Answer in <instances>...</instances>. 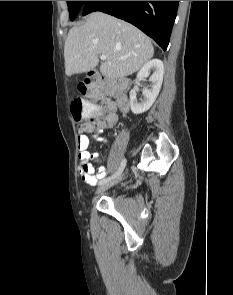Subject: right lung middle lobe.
<instances>
[{"mask_svg":"<svg viewBox=\"0 0 233 295\" xmlns=\"http://www.w3.org/2000/svg\"><path fill=\"white\" fill-rule=\"evenodd\" d=\"M86 1H67L70 20L73 21Z\"/></svg>","mask_w":233,"mask_h":295,"instance_id":"obj_1","label":"right lung middle lobe"}]
</instances>
